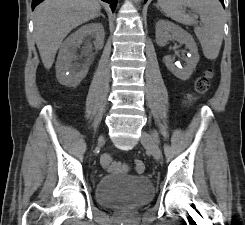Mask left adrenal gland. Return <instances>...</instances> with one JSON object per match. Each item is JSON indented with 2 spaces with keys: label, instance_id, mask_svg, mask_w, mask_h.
Segmentation results:
<instances>
[{
  "label": "left adrenal gland",
  "instance_id": "obj_1",
  "mask_svg": "<svg viewBox=\"0 0 245 225\" xmlns=\"http://www.w3.org/2000/svg\"><path fill=\"white\" fill-rule=\"evenodd\" d=\"M156 7H157V9H159V6L158 5H156Z\"/></svg>",
  "mask_w": 245,
  "mask_h": 225
}]
</instances>
